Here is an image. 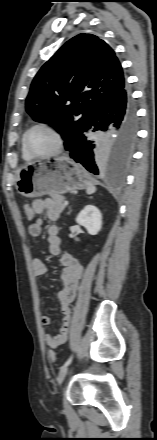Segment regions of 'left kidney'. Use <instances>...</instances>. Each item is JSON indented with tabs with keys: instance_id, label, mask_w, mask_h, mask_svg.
<instances>
[{
	"instance_id": "1",
	"label": "left kidney",
	"mask_w": 157,
	"mask_h": 440,
	"mask_svg": "<svg viewBox=\"0 0 157 440\" xmlns=\"http://www.w3.org/2000/svg\"><path fill=\"white\" fill-rule=\"evenodd\" d=\"M76 222L84 226L90 235H97L102 226V215L97 207L87 205L76 217Z\"/></svg>"
}]
</instances>
